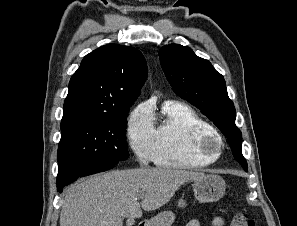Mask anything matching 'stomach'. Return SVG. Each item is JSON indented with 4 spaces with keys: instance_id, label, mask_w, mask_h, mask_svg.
Masks as SVG:
<instances>
[{
    "instance_id": "stomach-1",
    "label": "stomach",
    "mask_w": 297,
    "mask_h": 226,
    "mask_svg": "<svg viewBox=\"0 0 297 226\" xmlns=\"http://www.w3.org/2000/svg\"><path fill=\"white\" fill-rule=\"evenodd\" d=\"M194 196L201 203L216 202L225 193L226 185L222 177L218 175H205L192 183ZM179 206L184 207L185 202L179 201ZM175 214L172 211H163L146 222L145 226H171Z\"/></svg>"
}]
</instances>
